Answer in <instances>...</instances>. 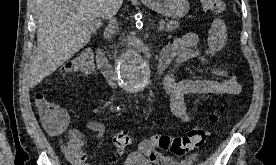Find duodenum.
<instances>
[{
  "label": "duodenum",
  "mask_w": 276,
  "mask_h": 165,
  "mask_svg": "<svg viewBox=\"0 0 276 165\" xmlns=\"http://www.w3.org/2000/svg\"><path fill=\"white\" fill-rule=\"evenodd\" d=\"M96 62L100 72L104 75L109 84L113 87H117L118 77L116 71L102 48H97L96 50ZM168 64V60L160 56L157 63V73L164 72L168 68Z\"/></svg>",
  "instance_id": "410a0bca"
}]
</instances>
